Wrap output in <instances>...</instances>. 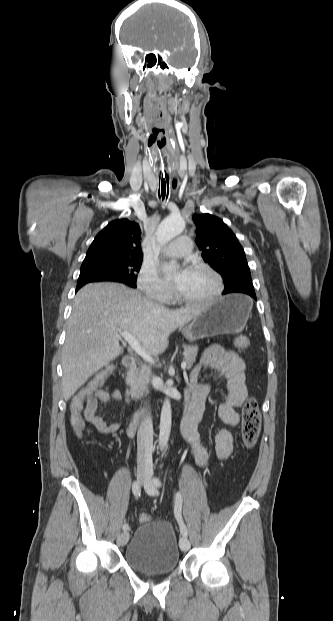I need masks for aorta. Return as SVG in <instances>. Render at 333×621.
Segmentation results:
<instances>
[{
  "mask_svg": "<svg viewBox=\"0 0 333 621\" xmlns=\"http://www.w3.org/2000/svg\"><path fill=\"white\" fill-rule=\"evenodd\" d=\"M185 229V221L179 215H170L165 218L157 227L156 238L161 246H164L174 237L181 234ZM172 423V410L170 399L165 398L161 410L160 416V432H159V446L163 450L166 448L170 436Z\"/></svg>",
  "mask_w": 333,
  "mask_h": 621,
  "instance_id": "aorta-1",
  "label": "aorta"
}]
</instances>
